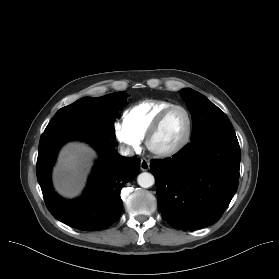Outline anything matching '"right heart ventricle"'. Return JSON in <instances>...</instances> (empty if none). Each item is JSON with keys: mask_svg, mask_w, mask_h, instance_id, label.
<instances>
[{"mask_svg": "<svg viewBox=\"0 0 279 279\" xmlns=\"http://www.w3.org/2000/svg\"><path fill=\"white\" fill-rule=\"evenodd\" d=\"M171 105L173 103L166 100H144L124 111L122 124L142 140L158 114Z\"/></svg>", "mask_w": 279, "mask_h": 279, "instance_id": "right-heart-ventricle-1", "label": "right heart ventricle"}]
</instances>
